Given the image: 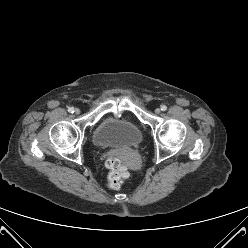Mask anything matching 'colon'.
Returning a JSON list of instances; mask_svg holds the SVG:
<instances>
[{
	"label": "colon",
	"mask_w": 248,
	"mask_h": 248,
	"mask_svg": "<svg viewBox=\"0 0 248 248\" xmlns=\"http://www.w3.org/2000/svg\"><path fill=\"white\" fill-rule=\"evenodd\" d=\"M106 166L109 170L108 186L112 189L119 188L128 177L126 167L118 158L113 156L107 159Z\"/></svg>",
	"instance_id": "colon-1"
}]
</instances>
